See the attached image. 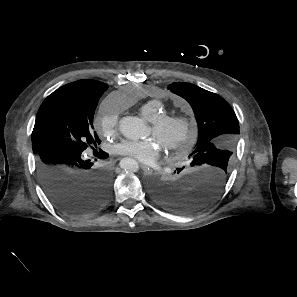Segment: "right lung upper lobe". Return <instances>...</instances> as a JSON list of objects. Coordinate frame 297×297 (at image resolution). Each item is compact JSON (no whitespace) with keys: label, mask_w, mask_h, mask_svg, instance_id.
<instances>
[{"label":"right lung upper lobe","mask_w":297,"mask_h":297,"mask_svg":"<svg viewBox=\"0 0 297 297\" xmlns=\"http://www.w3.org/2000/svg\"><path fill=\"white\" fill-rule=\"evenodd\" d=\"M105 83L96 80H79L58 88L50 94L42 103L36 117L34 129L37 126L41 113L45 108L55 100L69 95L82 96L86 98H98L107 90ZM34 133V132H32Z\"/></svg>","instance_id":"right-lung-upper-lobe-1"}]
</instances>
